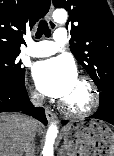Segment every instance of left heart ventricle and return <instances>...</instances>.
<instances>
[{"mask_svg": "<svg viewBox=\"0 0 114 156\" xmlns=\"http://www.w3.org/2000/svg\"><path fill=\"white\" fill-rule=\"evenodd\" d=\"M64 101L73 109L84 108L89 101V95L86 86L77 80L73 90L64 99Z\"/></svg>", "mask_w": 114, "mask_h": 156, "instance_id": "b2bd125f", "label": "left heart ventricle"}]
</instances>
